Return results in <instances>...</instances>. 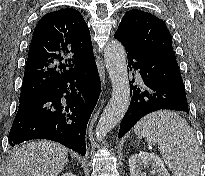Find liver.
<instances>
[{
    "label": "liver",
    "mask_w": 205,
    "mask_h": 176,
    "mask_svg": "<svg viewBox=\"0 0 205 176\" xmlns=\"http://www.w3.org/2000/svg\"><path fill=\"white\" fill-rule=\"evenodd\" d=\"M68 161L67 149L55 142H29L13 152L8 176H58Z\"/></svg>",
    "instance_id": "liver-1"
}]
</instances>
